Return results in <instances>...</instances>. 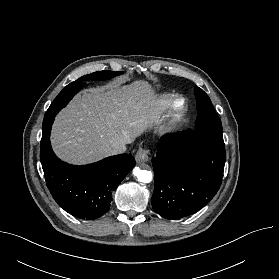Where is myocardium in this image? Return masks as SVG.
Returning a JSON list of instances; mask_svg holds the SVG:
<instances>
[{"instance_id":"myocardium-1","label":"myocardium","mask_w":279,"mask_h":279,"mask_svg":"<svg viewBox=\"0 0 279 279\" xmlns=\"http://www.w3.org/2000/svg\"><path fill=\"white\" fill-rule=\"evenodd\" d=\"M186 111V100L182 97H175L167 106V118L172 122H177L185 115Z\"/></svg>"}]
</instances>
